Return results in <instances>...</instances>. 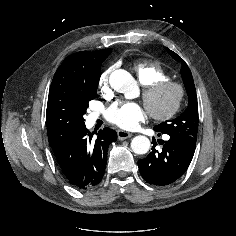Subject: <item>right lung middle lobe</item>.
Instances as JSON below:
<instances>
[{"label":"right lung middle lobe","mask_w":236,"mask_h":236,"mask_svg":"<svg viewBox=\"0 0 236 236\" xmlns=\"http://www.w3.org/2000/svg\"><path fill=\"white\" fill-rule=\"evenodd\" d=\"M110 53L111 48L100 50L95 57L97 70L92 74L87 75L86 79H83L81 83L76 87V98L82 122L84 121L83 115L86 113V110L88 108V102L90 100H93L97 96V87L101 75V64L109 56Z\"/></svg>","instance_id":"obj_1"}]
</instances>
